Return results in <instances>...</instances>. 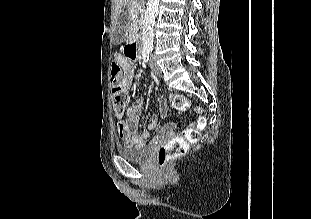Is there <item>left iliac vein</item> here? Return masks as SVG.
<instances>
[{"label":"left iliac vein","mask_w":311,"mask_h":219,"mask_svg":"<svg viewBox=\"0 0 311 219\" xmlns=\"http://www.w3.org/2000/svg\"><path fill=\"white\" fill-rule=\"evenodd\" d=\"M149 63H150V67H151V69L153 70L154 73H156V74H161L162 73L161 68L157 64L156 59H155L154 56L151 57Z\"/></svg>","instance_id":"4c4485c4"}]
</instances>
